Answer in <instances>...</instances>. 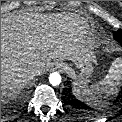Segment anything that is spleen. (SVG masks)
Listing matches in <instances>:
<instances>
[{"mask_svg": "<svg viewBox=\"0 0 122 122\" xmlns=\"http://www.w3.org/2000/svg\"><path fill=\"white\" fill-rule=\"evenodd\" d=\"M122 80V58H117L111 65L108 74L97 84L74 83L72 92L76 98L94 108H102L110 97L119 92Z\"/></svg>", "mask_w": 122, "mask_h": 122, "instance_id": "1", "label": "spleen"}]
</instances>
